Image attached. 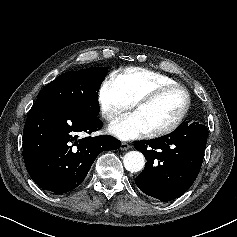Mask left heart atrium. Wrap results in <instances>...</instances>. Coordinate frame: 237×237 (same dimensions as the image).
Instances as JSON below:
<instances>
[{
  "label": "left heart atrium",
  "instance_id": "39dd6f15",
  "mask_svg": "<svg viewBox=\"0 0 237 237\" xmlns=\"http://www.w3.org/2000/svg\"><path fill=\"white\" fill-rule=\"evenodd\" d=\"M109 132L121 140H133L148 134L149 130L141 117L133 112L111 124Z\"/></svg>",
  "mask_w": 237,
  "mask_h": 237
}]
</instances>
